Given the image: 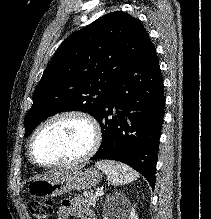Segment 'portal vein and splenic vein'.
<instances>
[{"mask_svg": "<svg viewBox=\"0 0 211 219\" xmlns=\"http://www.w3.org/2000/svg\"><path fill=\"white\" fill-rule=\"evenodd\" d=\"M95 194H96L97 196H100V195L103 194V191L99 189V190H97V191L95 192Z\"/></svg>", "mask_w": 211, "mask_h": 219, "instance_id": "1", "label": "portal vein and splenic vein"}]
</instances>
